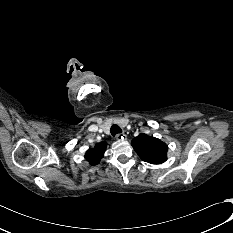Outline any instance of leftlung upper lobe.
Instances as JSON below:
<instances>
[{"label":"left lung upper lobe","mask_w":233,"mask_h":233,"mask_svg":"<svg viewBox=\"0 0 233 233\" xmlns=\"http://www.w3.org/2000/svg\"><path fill=\"white\" fill-rule=\"evenodd\" d=\"M139 157L151 164H161L167 160V145L160 139L146 134H139L131 142Z\"/></svg>","instance_id":"obj_1"}]
</instances>
